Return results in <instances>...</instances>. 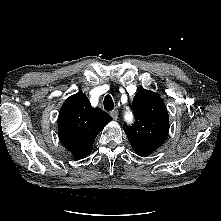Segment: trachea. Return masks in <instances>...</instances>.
Instances as JSON below:
<instances>
[{
	"label": "trachea",
	"mask_w": 221,
	"mask_h": 221,
	"mask_svg": "<svg viewBox=\"0 0 221 221\" xmlns=\"http://www.w3.org/2000/svg\"><path fill=\"white\" fill-rule=\"evenodd\" d=\"M104 108L107 111H111L114 109V102L110 95H106L104 98Z\"/></svg>",
	"instance_id": "obj_1"
}]
</instances>
